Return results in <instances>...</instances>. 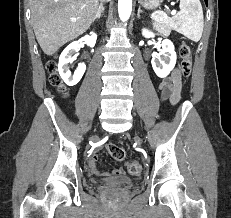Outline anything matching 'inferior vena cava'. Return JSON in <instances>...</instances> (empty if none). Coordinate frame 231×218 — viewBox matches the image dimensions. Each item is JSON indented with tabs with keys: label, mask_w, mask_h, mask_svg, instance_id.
<instances>
[{
	"label": "inferior vena cava",
	"mask_w": 231,
	"mask_h": 218,
	"mask_svg": "<svg viewBox=\"0 0 231 218\" xmlns=\"http://www.w3.org/2000/svg\"><path fill=\"white\" fill-rule=\"evenodd\" d=\"M105 1H107V0H100V2H101L100 6H102V8H103V4L102 3L105 2Z\"/></svg>",
	"instance_id": "inferior-vena-cava-1"
}]
</instances>
